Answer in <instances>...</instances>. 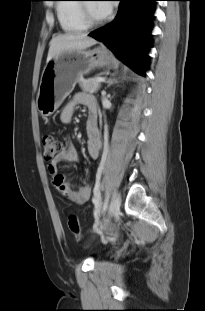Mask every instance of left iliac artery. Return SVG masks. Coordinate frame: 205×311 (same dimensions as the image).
I'll return each instance as SVG.
<instances>
[{"label": "left iliac artery", "mask_w": 205, "mask_h": 311, "mask_svg": "<svg viewBox=\"0 0 205 311\" xmlns=\"http://www.w3.org/2000/svg\"><path fill=\"white\" fill-rule=\"evenodd\" d=\"M99 180H100V174L98 173V175H97V180H96V188H98V186H99ZM94 204H95V208H96V209H98V208L101 206V202H100L99 198H96V199L94 200ZM107 206H108V197L106 198V200H105V202H104V204H103V206H102V213H103L104 211H106Z\"/></svg>", "instance_id": "44dca946"}]
</instances>
